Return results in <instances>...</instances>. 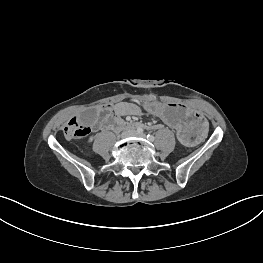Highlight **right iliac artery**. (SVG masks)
Here are the masks:
<instances>
[{
  "instance_id": "obj_1",
  "label": "right iliac artery",
  "mask_w": 263,
  "mask_h": 263,
  "mask_svg": "<svg viewBox=\"0 0 263 263\" xmlns=\"http://www.w3.org/2000/svg\"><path fill=\"white\" fill-rule=\"evenodd\" d=\"M137 132H138L139 134H141V133H143V129H142V128H138V129H137Z\"/></svg>"
}]
</instances>
